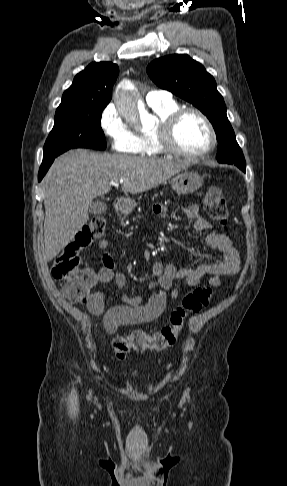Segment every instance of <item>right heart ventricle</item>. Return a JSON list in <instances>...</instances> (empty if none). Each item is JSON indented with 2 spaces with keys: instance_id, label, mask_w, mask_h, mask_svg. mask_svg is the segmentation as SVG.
Returning a JSON list of instances; mask_svg holds the SVG:
<instances>
[{
  "instance_id": "right-heart-ventricle-1",
  "label": "right heart ventricle",
  "mask_w": 287,
  "mask_h": 486,
  "mask_svg": "<svg viewBox=\"0 0 287 486\" xmlns=\"http://www.w3.org/2000/svg\"><path fill=\"white\" fill-rule=\"evenodd\" d=\"M154 113L158 116L159 120L162 121L169 114L174 112L179 108L178 104L171 100L169 102L159 103L155 105H150ZM138 139V149L137 154L147 157H155L165 153L160 147L158 140L156 138V129L144 132L137 135Z\"/></svg>"
}]
</instances>
